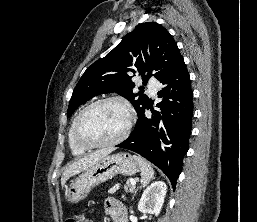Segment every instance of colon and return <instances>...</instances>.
<instances>
[{"mask_svg": "<svg viewBox=\"0 0 257 222\" xmlns=\"http://www.w3.org/2000/svg\"><path fill=\"white\" fill-rule=\"evenodd\" d=\"M66 222H92V221L85 215H77L73 218H70Z\"/></svg>", "mask_w": 257, "mask_h": 222, "instance_id": "1", "label": "colon"}]
</instances>
